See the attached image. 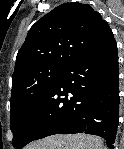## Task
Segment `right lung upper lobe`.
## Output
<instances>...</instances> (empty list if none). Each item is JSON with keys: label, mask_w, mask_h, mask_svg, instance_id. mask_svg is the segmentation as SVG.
Returning <instances> with one entry per match:
<instances>
[{"label": "right lung upper lobe", "mask_w": 124, "mask_h": 149, "mask_svg": "<svg viewBox=\"0 0 124 149\" xmlns=\"http://www.w3.org/2000/svg\"><path fill=\"white\" fill-rule=\"evenodd\" d=\"M112 39L107 22L90 5L79 2L61 4L29 30L17 54L12 84L40 67L64 68Z\"/></svg>", "instance_id": "right-lung-upper-lobe-1"}]
</instances>
